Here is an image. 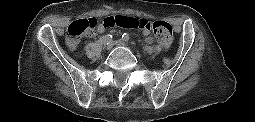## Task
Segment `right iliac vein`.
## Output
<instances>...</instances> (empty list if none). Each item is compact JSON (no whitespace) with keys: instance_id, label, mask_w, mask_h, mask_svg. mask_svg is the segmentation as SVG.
I'll use <instances>...</instances> for the list:
<instances>
[{"instance_id":"right-iliac-vein-1","label":"right iliac vein","mask_w":255,"mask_h":122,"mask_svg":"<svg viewBox=\"0 0 255 122\" xmlns=\"http://www.w3.org/2000/svg\"><path fill=\"white\" fill-rule=\"evenodd\" d=\"M112 48H113V44H112V43H110V44H108V45L106 46V50H107V51H110Z\"/></svg>"}]
</instances>
